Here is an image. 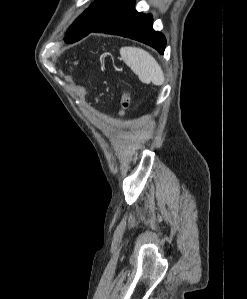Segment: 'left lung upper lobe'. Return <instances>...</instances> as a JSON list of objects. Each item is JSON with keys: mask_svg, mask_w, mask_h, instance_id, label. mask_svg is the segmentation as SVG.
<instances>
[{"mask_svg": "<svg viewBox=\"0 0 247 299\" xmlns=\"http://www.w3.org/2000/svg\"><path fill=\"white\" fill-rule=\"evenodd\" d=\"M127 0H97L70 26L65 42L74 43L118 10Z\"/></svg>", "mask_w": 247, "mask_h": 299, "instance_id": "1", "label": "left lung upper lobe"}]
</instances>
